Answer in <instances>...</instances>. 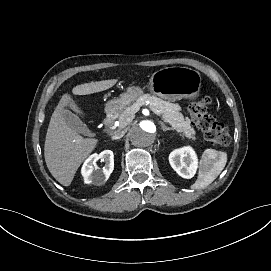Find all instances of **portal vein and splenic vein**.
<instances>
[{"mask_svg": "<svg viewBox=\"0 0 271 271\" xmlns=\"http://www.w3.org/2000/svg\"><path fill=\"white\" fill-rule=\"evenodd\" d=\"M147 107H148L149 109H151L153 112H156L157 115H161V112H160L159 110L154 109V108L150 107L149 105H148Z\"/></svg>", "mask_w": 271, "mask_h": 271, "instance_id": "obj_1", "label": "portal vein and splenic vein"}]
</instances>
